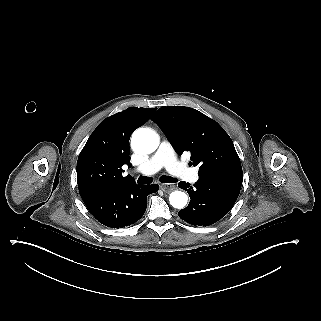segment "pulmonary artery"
Returning a JSON list of instances; mask_svg holds the SVG:
<instances>
[{
    "instance_id": "e3ab8cb5",
    "label": "pulmonary artery",
    "mask_w": 321,
    "mask_h": 321,
    "mask_svg": "<svg viewBox=\"0 0 321 321\" xmlns=\"http://www.w3.org/2000/svg\"><path fill=\"white\" fill-rule=\"evenodd\" d=\"M170 143L163 139L159 144L157 151L147 160L143 161L141 168L143 172L150 174L158 171L164 166L168 167L171 175L175 179L184 181H197L198 176L195 174L193 165L186 163L184 165L177 161L173 149L169 148Z\"/></svg>"
}]
</instances>
